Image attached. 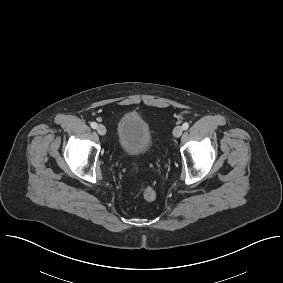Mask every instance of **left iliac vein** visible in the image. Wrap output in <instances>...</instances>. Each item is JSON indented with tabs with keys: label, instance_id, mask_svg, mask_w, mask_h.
Listing matches in <instances>:
<instances>
[{
	"label": "left iliac vein",
	"instance_id": "obj_1",
	"mask_svg": "<svg viewBox=\"0 0 283 283\" xmlns=\"http://www.w3.org/2000/svg\"><path fill=\"white\" fill-rule=\"evenodd\" d=\"M182 132H183V128H182L181 126H176V127L174 128V130H173V135H174L176 138H178V137L181 136Z\"/></svg>",
	"mask_w": 283,
	"mask_h": 283
}]
</instances>
